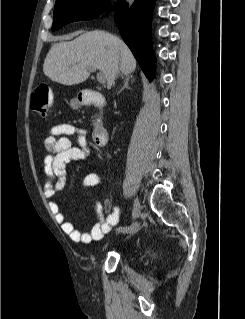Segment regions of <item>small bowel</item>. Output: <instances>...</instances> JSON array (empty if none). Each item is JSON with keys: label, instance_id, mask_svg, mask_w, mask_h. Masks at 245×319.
<instances>
[{"label": "small bowel", "instance_id": "obj_1", "mask_svg": "<svg viewBox=\"0 0 245 319\" xmlns=\"http://www.w3.org/2000/svg\"><path fill=\"white\" fill-rule=\"evenodd\" d=\"M74 136L77 146H73L69 137ZM88 131L71 124H59L53 126L45 138L44 144L46 155L44 168L46 181L43 185V195L51 198L56 192L61 191L66 182V165L72 161H84L89 157ZM101 182L98 173H88L81 179V189L87 196L98 222L92 227L90 233H82L77 230L74 224L66 220L65 214L61 211L55 201L49 202V207L56 220L61 224L62 230L76 243H91L100 240L108 233L119 219L120 208L115 207L111 213L110 203L105 202L104 206L95 200L88 188L97 186Z\"/></svg>", "mask_w": 245, "mask_h": 319}]
</instances>
